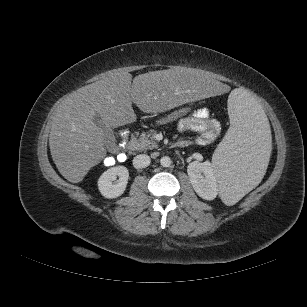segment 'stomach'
Segmentation results:
<instances>
[{"instance_id": "obj_1", "label": "stomach", "mask_w": 307, "mask_h": 307, "mask_svg": "<svg viewBox=\"0 0 307 307\" xmlns=\"http://www.w3.org/2000/svg\"><path fill=\"white\" fill-rule=\"evenodd\" d=\"M186 112H187L186 109H181L179 111H175L174 113L168 115L167 117L159 119L157 121V124L163 125V124H167V123L173 122L174 120H176L180 116L184 115Z\"/></svg>"}]
</instances>
